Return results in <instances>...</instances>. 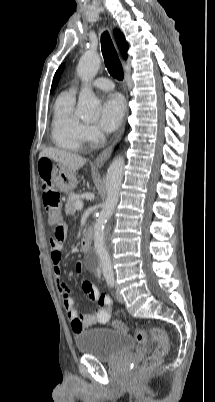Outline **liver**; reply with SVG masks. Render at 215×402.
Segmentation results:
<instances>
[{
  "instance_id": "6515ba94",
  "label": "liver",
  "mask_w": 215,
  "mask_h": 402,
  "mask_svg": "<svg viewBox=\"0 0 215 402\" xmlns=\"http://www.w3.org/2000/svg\"><path fill=\"white\" fill-rule=\"evenodd\" d=\"M42 157L50 158L74 172L86 163V159L79 155L55 148L43 149L39 154V158Z\"/></svg>"
}]
</instances>
